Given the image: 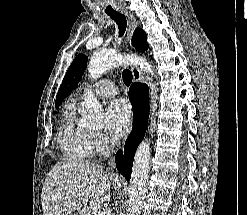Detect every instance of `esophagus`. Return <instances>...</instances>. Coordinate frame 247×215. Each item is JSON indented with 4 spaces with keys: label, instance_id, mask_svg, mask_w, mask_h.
Segmentation results:
<instances>
[{
    "label": "esophagus",
    "instance_id": "esophagus-1",
    "mask_svg": "<svg viewBox=\"0 0 247 215\" xmlns=\"http://www.w3.org/2000/svg\"><path fill=\"white\" fill-rule=\"evenodd\" d=\"M123 12H124V14L126 15V17L128 18V21H129L127 41H128L129 44H131L132 34H133V31H134L135 27L137 26V21H136L135 17L127 9H124ZM131 72H132V76H133V81L134 82H136V83H144L145 82L144 76L142 75V73L139 70V68H137L135 66H132L131 67ZM108 168H109V170H114V168H115L114 159H111L109 161Z\"/></svg>",
    "mask_w": 247,
    "mask_h": 215
}]
</instances>
